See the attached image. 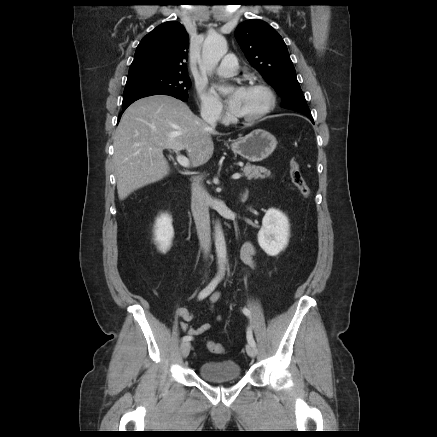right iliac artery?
I'll return each mask as SVG.
<instances>
[{"mask_svg": "<svg viewBox=\"0 0 437 437\" xmlns=\"http://www.w3.org/2000/svg\"><path fill=\"white\" fill-rule=\"evenodd\" d=\"M219 283V279L218 278H214L209 284L208 286H206L198 295V299L199 300H203L204 298H206L209 294H211L213 292V290L216 288V286ZM192 339L191 336L187 335L183 337V342L185 341H190Z\"/></svg>", "mask_w": 437, "mask_h": 437, "instance_id": "82829eb1", "label": "right iliac artery"}]
</instances>
